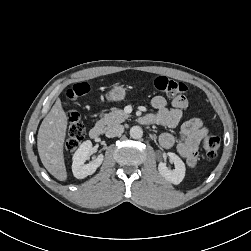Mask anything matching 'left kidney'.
Here are the masks:
<instances>
[{"instance_id": "left-kidney-1", "label": "left kidney", "mask_w": 251, "mask_h": 251, "mask_svg": "<svg viewBox=\"0 0 251 251\" xmlns=\"http://www.w3.org/2000/svg\"><path fill=\"white\" fill-rule=\"evenodd\" d=\"M171 161L175 165V169L171 170L169 169L165 163L160 162L158 165V171L160 175L165 178L167 181L178 185L182 182L185 176V164L184 162L180 159L179 156H177L175 153L169 152L167 154Z\"/></svg>"}]
</instances>
